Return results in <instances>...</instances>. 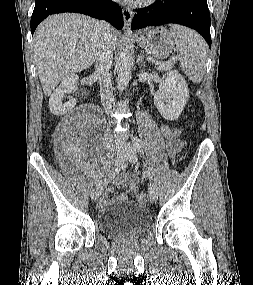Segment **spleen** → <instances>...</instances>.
Masks as SVG:
<instances>
[{"label":"spleen","instance_id":"obj_1","mask_svg":"<svg viewBox=\"0 0 253 285\" xmlns=\"http://www.w3.org/2000/svg\"><path fill=\"white\" fill-rule=\"evenodd\" d=\"M180 54V66L189 80L200 83L203 79L207 61V44L203 38L192 29L174 25L171 28Z\"/></svg>","mask_w":253,"mask_h":285}]
</instances>
